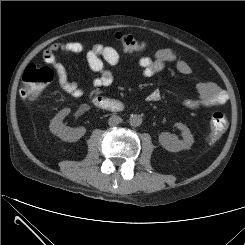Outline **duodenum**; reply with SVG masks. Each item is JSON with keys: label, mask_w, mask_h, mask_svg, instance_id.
<instances>
[{"label": "duodenum", "mask_w": 245, "mask_h": 245, "mask_svg": "<svg viewBox=\"0 0 245 245\" xmlns=\"http://www.w3.org/2000/svg\"><path fill=\"white\" fill-rule=\"evenodd\" d=\"M92 103L99 108L109 111H122L124 109V106L121 102L106 98L101 95L93 96Z\"/></svg>", "instance_id": "duodenum-1"}]
</instances>
